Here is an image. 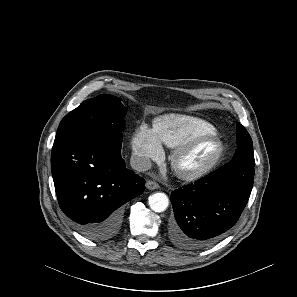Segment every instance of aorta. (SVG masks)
I'll use <instances>...</instances> for the list:
<instances>
[{
    "instance_id": "aorta-1",
    "label": "aorta",
    "mask_w": 297,
    "mask_h": 297,
    "mask_svg": "<svg viewBox=\"0 0 297 297\" xmlns=\"http://www.w3.org/2000/svg\"><path fill=\"white\" fill-rule=\"evenodd\" d=\"M149 206L155 212H163L169 205V199L165 193H154L149 196Z\"/></svg>"
}]
</instances>
